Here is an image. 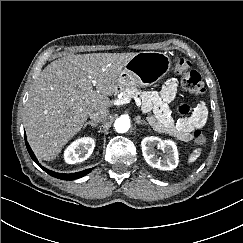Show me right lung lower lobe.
Returning <instances> with one entry per match:
<instances>
[{"label": "right lung lower lobe", "mask_w": 243, "mask_h": 243, "mask_svg": "<svg viewBox=\"0 0 243 243\" xmlns=\"http://www.w3.org/2000/svg\"><path fill=\"white\" fill-rule=\"evenodd\" d=\"M25 140H26V135H25ZM26 143V147H27V150L31 156V158L44 170L46 171L49 175L55 177V178H59V179H62V180H74V179H78L80 177H83L84 175L88 174L92 169H86L84 171H81V172H77V173H71V174H60V173H55L51 170H48L46 168H44L43 166H41L39 164V162L37 161L33 151L31 150L29 144L27 141H25Z\"/></svg>", "instance_id": "right-lung-lower-lobe-1"}]
</instances>
